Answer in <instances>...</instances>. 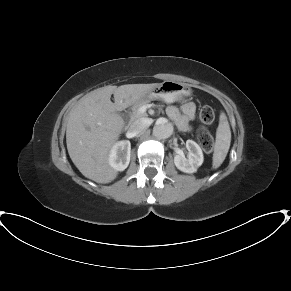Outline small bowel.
<instances>
[{
    "label": "small bowel",
    "instance_id": "c3829d8e",
    "mask_svg": "<svg viewBox=\"0 0 291 291\" xmlns=\"http://www.w3.org/2000/svg\"><path fill=\"white\" fill-rule=\"evenodd\" d=\"M196 114V105L192 101H182L181 110L175 105H170L167 108L168 117L174 122V124L182 131H189L190 120Z\"/></svg>",
    "mask_w": 291,
    "mask_h": 291
}]
</instances>
